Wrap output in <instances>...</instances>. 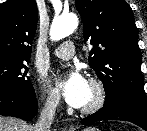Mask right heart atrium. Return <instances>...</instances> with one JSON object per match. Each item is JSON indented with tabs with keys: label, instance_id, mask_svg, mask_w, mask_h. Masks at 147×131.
I'll return each instance as SVG.
<instances>
[{
	"label": "right heart atrium",
	"instance_id": "right-heart-atrium-1",
	"mask_svg": "<svg viewBox=\"0 0 147 131\" xmlns=\"http://www.w3.org/2000/svg\"><path fill=\"white\" fill-rule=\"evenodd\" d=\"M41 99H42V108L44 112L48 114L55 113L58 107L57 96L53 92L43 88L41 93Z\"/></svg>",
	"mask_w": 147,
	"mask_h": 131
}]
</instances>
